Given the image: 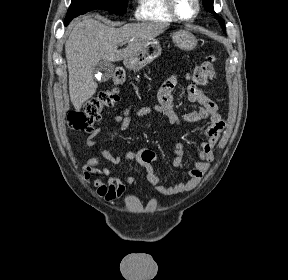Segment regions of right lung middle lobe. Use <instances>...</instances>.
I'll list each match as a JSON object with an SVG mask.
<instances>
[{
  "mask_svg": "<svg viewBox=\"0 0 288 280\" xmlns=\"http://www.w3.org/2000/svg\"><path fill=\"white\" fill-rule=\"evenodd\" d=\"M126 7L127 0H72L65 21L71 20L93 9H101L123 15L126 12Z\"/></svg>",
  "mask_w": 288,
  "mask_h": 280,
  "instance_id": "1",
  "label": "right lung middle lobe"
}]
</instances>
